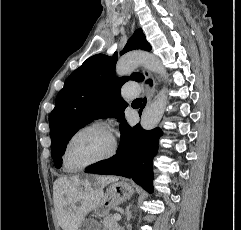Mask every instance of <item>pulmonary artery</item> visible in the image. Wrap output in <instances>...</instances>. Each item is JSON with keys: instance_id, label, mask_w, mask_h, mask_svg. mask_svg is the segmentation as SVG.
<instances>
[{"instance_id": "e3ab8cb5", "label": "pulmonary artery", "mask_w": 241, "mask_h": 230, "mask_svg": "<svg viewBox=\"0 0 241 230\" xmlns=\"http://www.w3.org/2000/svg\"><path fill=\"white\" fill-rule=\"evenodd\" d=\"M139 92L138 84L135 82L125 83L122 87V96L127 100L137 97Z\"/></svg>"}]
</instances>
